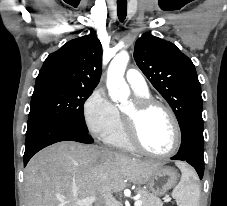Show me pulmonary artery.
I'll use <instances>...</instances> for the list:
<instances>
[{"mask_svg": "<svg viewBox=\"0 0 227 206\" xmlns=\"http://www.w3.org/2000/svg\"><path fill=\"white\" fill-rule=\"evenodd\" d=\"M126 80L135 93H148V86L143 75L136 69H129L126 72Z\"/></svg>", "mask_w": 227, "mask_h": 206, "instance_id": "e3ab8cb5", "label": "pulmonary artery"}]
</instances>
